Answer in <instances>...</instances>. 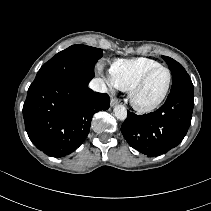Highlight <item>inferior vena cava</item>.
Masks as SVG:
<instances>
[{"mask_svg": "<svg viewBox=\"0 0 211 211\" xmlns=\"http://www.w3.org/2000/svg\"><path fill=\"white\" fill-rule=\"evenodd\" d=\"M89 87L97 92H102V93L107 92V87L101 78H95L91 80V82L89 83Z\"/></svg>", "mask_w": 211, "mask_h": 211, "instance_id": "obj_1", "label": "inferior vena cava"}]
</instances>
